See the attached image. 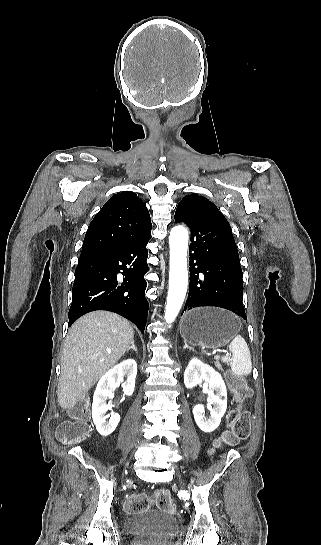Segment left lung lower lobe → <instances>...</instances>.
<instances>
[{
    "instance_id": "0a47b994",
    "label": "left lung lower lobe",
    "mask_w": 321,
    "mask_h": 545,
    "mask_svg": "<svg viewBox=\"0 0 321 545\" xmlns=\"http://www.w3.org/2000/svg\"><path fill=\"white\" fill-rule=\"evenodd\" d=\"M191 230L190 291L184 311L199 306L228 309L247 320L243 273L230 225L213 207L175 213ZM183 314V312H182Z\"/></svg>"
}]
</instances>
